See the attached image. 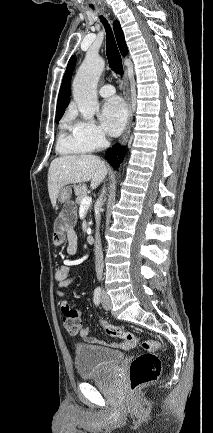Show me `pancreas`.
Here are the masks:
<instances>
[{
  "label": "pancreas",
  "mask_w": 213,
  "mask_h": 433,
  "mask_svg": "<svg viewBox=\"0 0 213 433\" xmlns=\"http://www.w3.org/2000/svg\"><path fill=\"white\" fill-rule=\"evenodd\" d=\"M74 191L76 195V203L80 204L81 200L85 197H87V186L85 184L83 185H76L74 186Z\"/></svg>",
  "instance_id": "pancreas-1"
}]
</instances>
